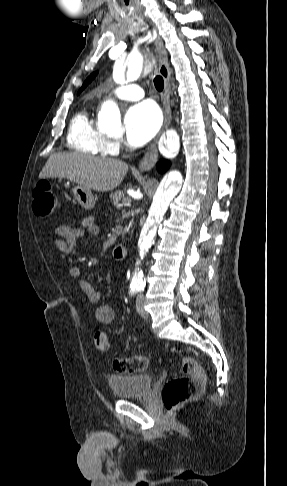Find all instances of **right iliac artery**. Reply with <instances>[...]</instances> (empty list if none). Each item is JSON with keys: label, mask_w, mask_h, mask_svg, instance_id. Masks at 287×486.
<instances>
[{"label": "right iliac artery", "mask_w": 287, "mask_h": 486, "mask_svg": "<svg viewBox=\"0 0 287 486\" xmlns=\"http://www.w3.org/2000/svg\"><path fill=\"white\" fill-rule=\"evenodd\" d=\"M137 291V288L132 287L131 288V293L134 294Z\"/></svg>", "instance_id": "82829eb1"}]
</instances>
